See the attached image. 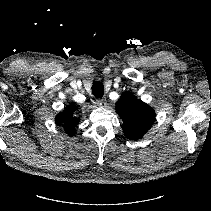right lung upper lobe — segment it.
<instances>
[{
  "instance_id": "1",
  "label": "right lung upper lobe",
  "mask_w": 211,
  "mask_h": 211,
  "mask_svg": "<svg viewBox=\"0 0 211 211\" xmlns=\"http://www.w3.org/2000/svg\"><path fill=\"white\" fill-rule=\"evenodd\" d=\"M77 110L75 105L71 104L58 114L55 118L57 125H63L65 131L73 136L76 133L75 127L78 125L80 119L73 116L74 111Z\"/></svg>"
}]
</instances>
